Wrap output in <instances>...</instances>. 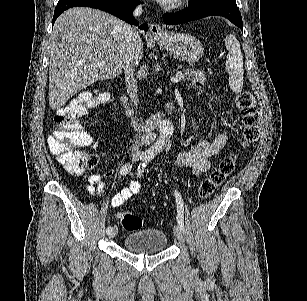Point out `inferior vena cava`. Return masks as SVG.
Listing matches in <instances>:
<instances>
[{
	"instance_id": "obj_1",
	"label": "inferior vena cava",
	"mask_w": 307,
	"mask_h": 301,
	"mask_svg": "<svg viewBox=\"0 0 307 301\" xmlns=\"http://www.w3.org/2000/svg\"><path fill=\"white\" fill-rule=\"evenodd\" d=\"M143 12V6L142 4H138L136 6L135 10H133V16H140ZM126 34H127V46L125 48V54H124V72H125V84L127 88V92L130 96L131 102H133L134 106H138L139 104V98L137 94V80L135 78V60H134V48L132 46V42L136 40L138 36V30L134 28V26H128L126 28ZM140 134H136L134 138V142L131 146V153L133 157H138V155H141V148H140Z\"/></svg>"
}]
</instances>
